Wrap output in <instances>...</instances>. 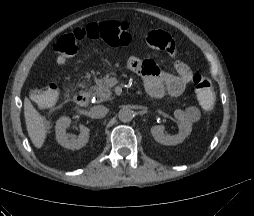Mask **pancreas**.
Returning a JSON list of instances; mask_svg holds the SVG:
<instances>
[{
  "instance_id": "cf45deb5",
  "label": "pancreas",
  "mask_w": 254,
  "mask_h": 216,
  "mask_svg": "<svg viewBox=\"0 0 254 216\" xmlns=\"http://www.w3.org/2000/svg\"><path fill=\"white\" fill-rule=\"evenodd\" d=\"M93 96L97 98V102H103L111 97V90L109 87V78L108 76L99 79L96 83V86L91 87Z\"/></svg>"
}]
</instances>
